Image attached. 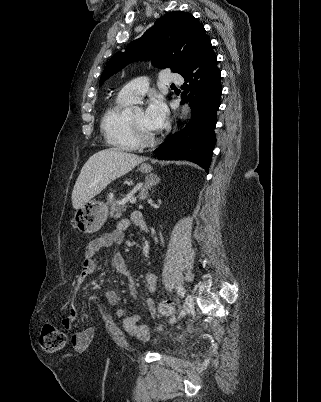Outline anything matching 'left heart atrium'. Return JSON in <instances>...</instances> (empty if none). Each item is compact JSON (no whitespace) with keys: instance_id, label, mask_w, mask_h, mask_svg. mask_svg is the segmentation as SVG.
Here are the masks:
<instances>
[{"instance_id":"1","label":"left heart atrium","mask_w":321,"mask_h":402,"mask_svg":"<svg viewBox=\"0 0 321 402\" xmlns=\"http://www.w3.org/2000/svg\"><path fill=\"white\" fill-rule=\"evenodd\" d=\"M166 118L167 109L164 103L158 99L152 100L144 113L146 127L156 132L163 126Z\"/></svg>"}]
</instances>
